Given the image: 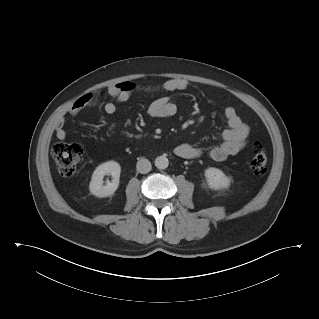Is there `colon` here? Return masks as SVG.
I'll return each mask as SVG.
<instances>
[{
    "label": "colon",
    "instance_id": "colon-1",
    "mask_svg": "<svg viewBox=\"0 0 319 319\" xmlns=\"http://www.w3.org/2000/svg\"><path fill=\"white\" fill-rule=\"evenodd\" d=\"M52 157L59 173L64 177L74 176L83 158V150L77 144L57 143L52 148ZM267 154L263 147L255 144L252 147L250 167L256 174H264L267 169Z\"/></svg>",
    "mask_w": 319,
    "mask_h": 319
}]
</instances>
